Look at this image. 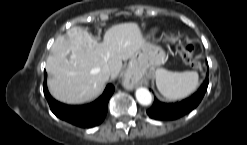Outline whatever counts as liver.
Wrapping results in <instances>:
<instances>
[{"label":"liver","instance_id":"6515ba94","mask_svg":"<svg viewBox=\"0 0 247 145\" xmlns=\"http://www.w3.org/2000/svg\"><path fill=\"white\" fill-rule=\"evenodd\" d=\"M149 44L136 23H121L109 28L102 43L80 27L58 36L47 58L46 70L51 75V95L68 104H82L98 97L109 77L115 79L122 61L131 58ZM108 68L110 75L103 73Z\"/></svg>","mask_w":247,"mask_h":145}]
</instances>
